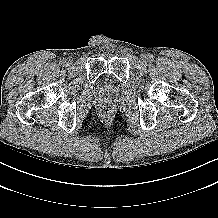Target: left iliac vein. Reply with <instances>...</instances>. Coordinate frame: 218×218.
<instances>
[{
    "label": "left iliac vein",
    "mask_w": 218,
    "mask_h": 218,
    "mask_svg": "<svg viewBox=\"0 0 218 218\" xmlns=\"http://www.w3.org/2000/svg\"><path fill=\"white\" fill-rule=\"evenodd\" d=\"M147 61H148V56L145 55V54L141 55V62H142L143 64H145Z\"/></svg>",
    "instance_id": "left-iliac-vein-1"
}]
</instances>
